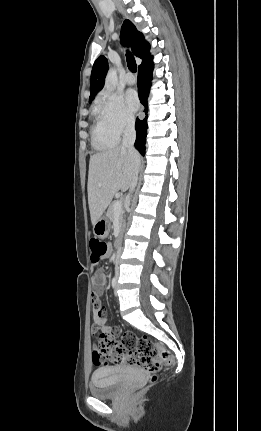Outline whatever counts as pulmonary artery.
Here are the masks:
<instances>
[{"label": "pulmonary artery", "instance_id": "pulmonary-artery-1", "mask_svg": "<svg viewBox=\"0 0 261 431\" xmlns=\"http://www.w3.org/2000/svg\"><path fill=\"white\" fill-rule=\"evenodd\" d=\"M124 82L128 85H133L136 82V78L132 73H127L124 77Z\"/></svg>", "mask_w": 261, "mask_h": 431}]
</instances>
